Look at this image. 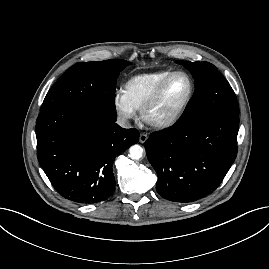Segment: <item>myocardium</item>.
I'll return each instance as SVG.
<instances>
[{"label":"myocardium","instance_id":"1","mask_svg":"<svg viewBox=\"0 0 269 269\" xmlns=\"http://www.w3.org/2000/svg\"><path fill=\"white\" fill-rule=\"evenodd\" d=\"M177 75H183L187 78L189 82V90L188 94L185 98V100L182 102V104L172 113H170L167 116H164L162 118L158 119H152L150 118L149 114L152 111V109L156 106L158 103L166 85L169 83V81L177 76ZM194 94V82L191 78V76L184 72V71H173L170 73L166 78H164L159 85L156 87L150 98L147 100V102L143 105V107L140 110V116L141 119L148 124L149 126L153 128H167L173 124H175L180 117L183 115L185 110L187 109L188 105L190 104L192 97Z\"/></svg>","mask_w":269,"mask_h":269}]
</instances>
